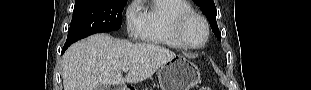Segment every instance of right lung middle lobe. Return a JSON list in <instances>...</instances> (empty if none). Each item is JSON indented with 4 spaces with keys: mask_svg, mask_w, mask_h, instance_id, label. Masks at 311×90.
I'll list each match as a JSON object with an SVG mask.
<instances>
[{
    "mask_svg": "<svg viewBox=\"0 0 311 90\" xmlns=\"http://www.w3.org/2000/svg\"><path fill=\"white\" fill-rule=\"evenodd\" d=\"M127 0H76L66 45L94 33L121 27L122 11Z\"/></svg>",
    "mask_w": 311,
    "mask_h": 90,
    "instance_id": "1",
    "label": "right lung middle lobe"
}]
</instances>
